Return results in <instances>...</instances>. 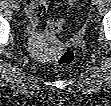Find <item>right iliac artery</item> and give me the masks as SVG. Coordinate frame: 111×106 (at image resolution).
<instances>
[{
  "label": "right iliac artery",
  "mask_w": 111,
  "mask_h": 106,
  "mask_svg": "<svg viewBox=\"0 0 111 106\" xmlns=\"http://www.w3.org/2000/svg\"><path fill=\"white\" fill-rule=\"evenodd\" d=\"M10 3H14V1H13V0H10Z\"/></svg>",
  "instance_id": "right-iliac-artery-1"
}]
</instances>
